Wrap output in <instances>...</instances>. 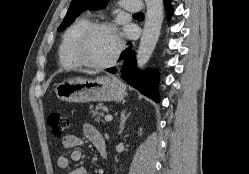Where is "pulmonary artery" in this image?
<instances>
[{
    "instance_id": "1",
    "label": "pulmonary artery",
    "mask_w": 249,
    "mask_h": 174,
    "mask_svg": "<svg viewBox=\"0 0 249 174\" xmlns=\"http://www.w3.org/2000/svg\"><path fill=\"white\" fill-rule=\"evenodd\" d=\"M121 3L126 11L132 13H139L143 8L141 0H122Z\"/></svg>"
}]
</instances>
